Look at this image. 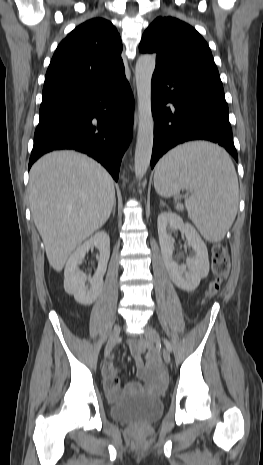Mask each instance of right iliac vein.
<instances>
[{
  "mask_svg": "<svg viewBox=\"0 0 263 465\" xmlns=\"http://www.w3.org/2000/svg\"><path fill=\"white\" fill-rule=\"evenodd\" d=\"M120 332H121V327L119 325L115 326L114 329L112 330V332H111V334L109 336L107 345H106L105 350H104V357L105 358H107L110 355L112 349L114 348V346L118 342Z\"/></svg>",
  "mask_w": 263,
  "mask_h": 465,
  "instance_id": "obj_1",
  "label": "right iliac vein"
}]
</instances>
